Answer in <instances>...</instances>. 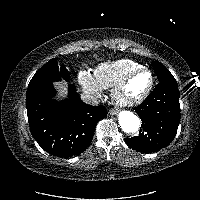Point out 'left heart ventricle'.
<instances>
[{"label": "left heart ventricle", "mask_w": 200, "mask_h": 200, "mask_svg": "<svg viewBox=\"0 0 200 200\" xmlns=\"http://www.w3.org/2000/svg\"><path fill=\"white\" fill-rule=\"evenodd\" d=\"M149 80L147 72L138 73L127 83L122 93L123 96L128 99L139 97L146 90Z\"/></svg>", "instance_id": "left-heart-ventricle-1"}]
</instances>
